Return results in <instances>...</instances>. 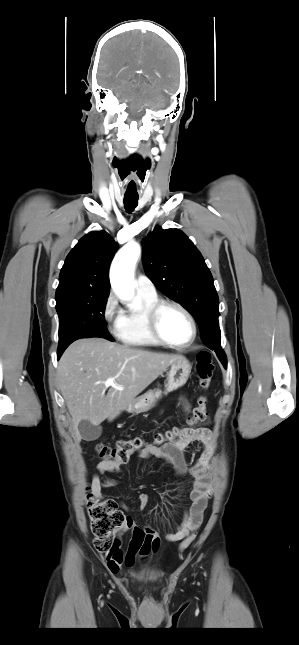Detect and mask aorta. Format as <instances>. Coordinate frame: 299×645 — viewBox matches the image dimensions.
I'll return each mask as SVG.
<instances>
[{"mask_svg":"<svg viewBox=\"0 0 299 645\" xmlns=\"http://www.w3.org/2000/svg\"><path fill=\"white\" fill-rule=\"evenodd\" d=\"M141 248L135 242L127 243L116 254L110 269L111 286L115 294L123 300L134 295V268Z\"/></svg>","mask_w":299,"mask_h":645,"instance_id":"obj_1","label":"aorta"}]
</instances>
